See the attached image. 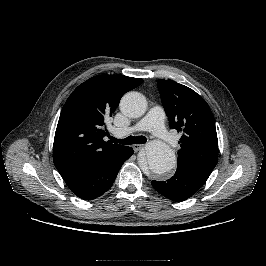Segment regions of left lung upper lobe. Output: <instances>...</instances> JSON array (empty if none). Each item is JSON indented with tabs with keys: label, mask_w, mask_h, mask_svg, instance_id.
<instances>
[{
	"label": "left lung upper lobe",
	"mask_w": 266,
	"mask_h": 266,
	"mask_svg": "<svg viewBox=\"0 0 266 266\" xmlns=\"http://www.w3.org/2000/svg\"><path fill=\"white\" fill-rule=\"evenodd\" d=\"M158 89L171 128L182 132L178 166L207 180L218 161V139L213 114L206 101L187 86L158 80Z\"/></svg>",
	"instance_id": "1"
}]
</instances>
